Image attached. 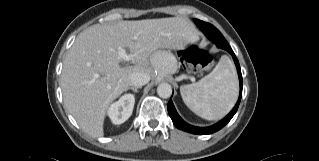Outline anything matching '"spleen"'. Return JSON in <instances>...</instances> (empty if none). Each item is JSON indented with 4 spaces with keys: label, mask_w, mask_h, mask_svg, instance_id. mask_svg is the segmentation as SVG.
I'll list each match as a JSON object with an SVG mask.
<instances>
[{
    "label": "spleen",
    "mask_w": 319,
    "mask_h": 161,
    "mask_svg": "<svg viewBox=\"0 0 319 161\" xmlns=\"http://www.w3.org/2000/svg\"><path fill=\"white\" fill-rule=\"evenodd\" d=\"M180 93L186 106L196 115L216 120L234 106L238 96V81L232 61L222 56L207 76L196 83L182 85Z\"/></svg>",
    "instance_id": "obj_1"
}]
</instances>
